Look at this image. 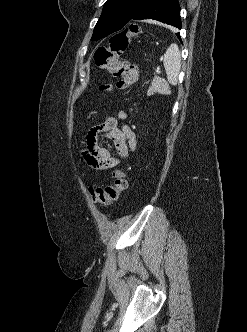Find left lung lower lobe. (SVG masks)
Returning <instances> with one entry per match:
<instances>
[{
  "instance_id": "0a47b994",
  "label": "left lung lower lobe",
  "mask_w": 247,
  "mask_h": 332,
  "mask_svg": "<svg viewBox=\"0 0 247 332\" xmlns=\"http://www.w3.org/2000/svg\"><path fill=\"white\" fill-rule=\"evenodd\" d=\"M146 19L157 20L181 29L178 0H147L134 14L130 22ZM177 36L180 39L179 34Z\"/></svg>"
}]
</instances>
